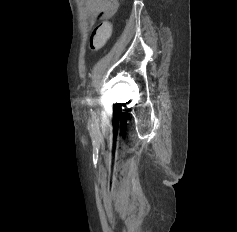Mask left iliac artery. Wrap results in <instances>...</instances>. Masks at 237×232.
Returning <instances> with one entry per match:
<instances>
[{"label":"left iliac artery","instance_id":"44dca946","mask_svg":"<svg viewBox=\"0 0 237 232\" xmlns=\"http://www.w3.org/2000/svg\"><path fill=\"white\" fill-rule=\"evenodd\" d=\"M87 102H88V104H91V98L90 97L87 98Z\"/></svg>","mask_w":237,"mask_h":232}]
</instances>
